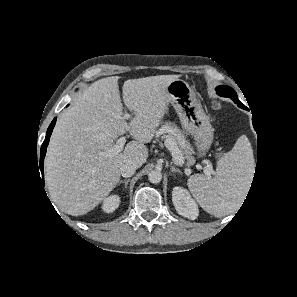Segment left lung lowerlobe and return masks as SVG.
Here are the masks:
<instances>
[{"instance_id":"0a47b994","label":"left lung lower lobe","mask_w":297,"mask_h":297,"mask_svg":"<svg viewBox=\"0 0 297 297\" xmlns=\"http://www.w3.org/2000/svg\"><path fill=\"white\" fill-rule=\"evenodd\" d=\"M237 104H238V106H239L240 108H243V109H246V110H247L246 106L243 105L242 103L238 102Z\"/></svg>"}]
</instances>
